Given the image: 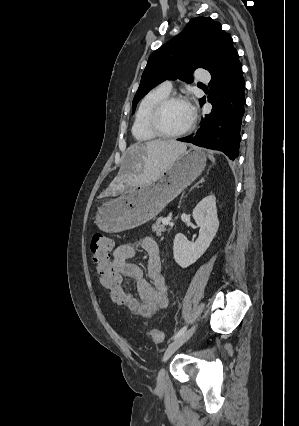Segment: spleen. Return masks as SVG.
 Listing matches in <instances>:
<instances>
[{"instance_id":"3e777b00","label":"spleen","mask_w":299,"mask_h":426,"mask_svg":"<svg viewBox=\"0 0 299 426\" xmlns=\"http://www.w3.org/2000/svg\"><path fill=\"white\" fill-rule=\"evenodd\" d=\"M209 159H210L211 161L215 162V159H214V157H213L212 155H209Z\"/></svg>"}]
</instances>
